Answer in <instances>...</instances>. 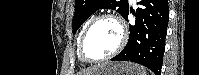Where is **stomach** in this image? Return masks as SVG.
<instances>
[{
  "label": "stomach",
  "mask_w": 199,
  "mask_h": 75,
  "mask_svg": "<svg viewBox=\"0 0 199 75\" xmlns=\"http://www.w3.org/2000/svg\"><path fill=\"white\" fill-rule=\"evenodd\" d=\"M145 70L130 62H112L98 67L91 75H144Z\"/></svg>",
  "instance_id": "stomach-1"
}]
</instances>
